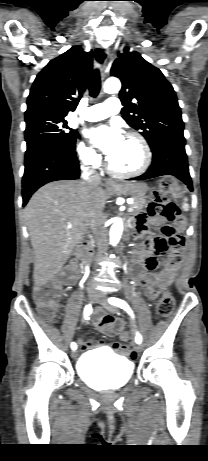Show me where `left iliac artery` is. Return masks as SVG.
I'll return each mask as SVG.
<instances>
[{
    "mask_svg": "<svg viewBox=\"0 0 208 461\" xmlns=\"http://www.w3.org/2000/svg\"><path fill=\"white\" fill-rule=\"evenodd\" d=\"M108 301H109L110 304L118 306V307L124 309L132 317H134V314H133L132 310L130 309V307L128 306V304L125 301H123V300H121L119 298H114V297L109 298ZM135 340H136V343L140 344L142 342V336L139 333H137Z\"/></svg>",
    "mask_w": 208,
    "mask_h": 461,
    "instance_id": "obj_1",
    "label": "left iliac artery"
}]
</instances>
